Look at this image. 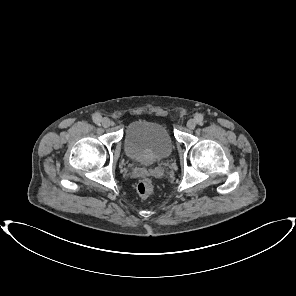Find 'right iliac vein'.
Wrapping results in <instances>:
<instances>
[{"label":"right iliac vein","instance_id":"63e3f726","mask_svg":"<svg viewBox=\"0 0 296 296\" xmlns=\"http://www.w3.org/2000/svg\"><path fill=\"white\" fill-rule=\"evenodd\" d=\"M101 124L104 128H108L111 125V122L108 118H103L101 120Z\"/></svg>","mask_w":296,"mask_h":296}]
</instances>
